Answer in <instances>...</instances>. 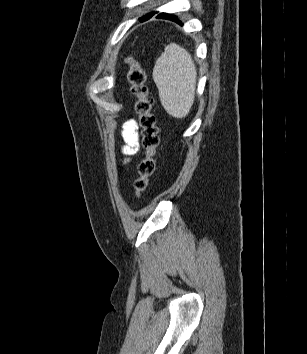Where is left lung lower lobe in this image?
<instances>
[{
  "label": "left lung lower lobe",
  "mask_w": 307,
  "mask_h": 354,
  "mask_svg": "<svg viewBox=\"0 0 307 354\" xmlns=\"http://www.w3.org/2000/svg\"><path fill=\"white\" fill-rule=\"evenodd\" d=\"M150 17H151V16H150ZM150 17H148V18H146V19H144V20H142V21H145V20L149 19ZM157 18L169 19V20L175 21V22H177V23H179V24H181V25H182V22H181V21H179V20H178V18H177L176 16L171 15V14H167V13H160V14L157 16Z\"/></svg>",
  "instance_id": "1"
}]
</instances>
